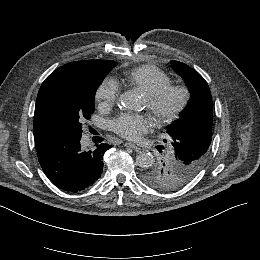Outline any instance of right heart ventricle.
<instances>
[{
	"instance_id": "obj_1",
	"label": "right heart ventricle",
	"mask_w": 260,
	"mask_h": 260,
	"mask_svg": "<svg viewBox=\"0 0 260 260\" xmlns=\"http://www.w3.org/2000/svg\"><path fill=\"white\" fill-rule=\"evenodd\" d=\"M125 81L129 86L146 95L169 84L171 79L167 74L154 67L141 66L130 71L126 75Z\"/></svg>"
}]
</instances>
